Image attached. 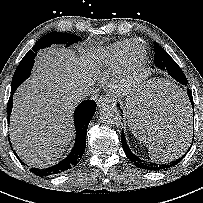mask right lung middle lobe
I'll list each match as a JSON object with an SVG mask.
<instances>
[{"mask_svg":"<svg viewBox=\"0 0 203 203\" xmlns=\"http://www.w3.org/2000/svg\"><path fill=\"white\" fill-rule=\"evenodd\" d=\"M81 39L72 34L68 33H58V32H51L44 37H42L32 48V51L36 52L40 49H43L45 47H48L52 44H65L66 47L80 41ZM31 51V50H30ZM33 60H29L28 55L26 54L21 62L19 63V66L17 67L13 79H12V85L11 89L16 90L18 86L24 82L31 73V69L33 67Z\"/></svg>","mask_w":203,"mask_h":203,"instance_id":"right-lung-middle-lobe-1","label":"right lung middle lobe"}]
</instances>
